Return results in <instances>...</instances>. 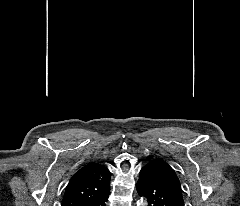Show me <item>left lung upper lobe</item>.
<instances>
[{
	"mask_svg": "<svg viewBox=\"0 0 240 206\" xmlns=\"http://www.w3.org/2000/svg\"><path fill=\"white\" fill-rule=\"evenodd\" d=\"M159 164L160 171L164 174L166 177V180L170 187L173 189V191L181 198L183 199V191L180 185L179 178L174 171V169L164 160L161 159H155L152 160Z\"/></svg>",
	"mask_w": 240,
	"mask_h": 206,
	"instance_id": "5c2ea615",
	"label": "left lung upper lobe"
}]
</instances>
